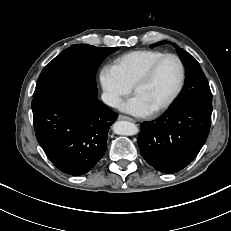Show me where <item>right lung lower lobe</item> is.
Listing matches in <instances>:
<instances>
[{"mask_svg": "<svg viewBox=\"0 0 231 231\" xmlns=\"http://www.w3.org/2000/svg\"><path fill=\"white\" fill-rule=\"evenodd\" d=\"M36 138L62 172L78 176L91 170L107 149L108 129L117 114L97 95L64 90L32 100Z\"/></svg>", "mask_w": 231, "mask_h": 231, "instance_id": "98d812e1", "label": "right lung lower lobe"}]
</instances>
